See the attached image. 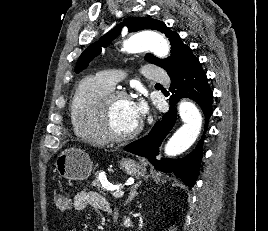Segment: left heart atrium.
Here are the masks:
<instances>
[{
    "mask_svg": "<svg viewBox=\"0 0 268 231\" xmlns=\"http://www.w3.org/2000/svg\"><path fill=\"white\" fill-rule=\"evenodd\" d=\"M133 106H134V109H135L137 116L141 120L146 113V106H145L144 102H142V101L133 102Z\"/></svg>",
    "mask_w": 268,
    "mask_h": 231,
    "instance_id": "39dd6f15",
    "label": "left heart atrium"
}]
</instances>
